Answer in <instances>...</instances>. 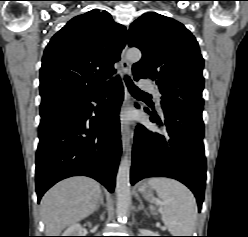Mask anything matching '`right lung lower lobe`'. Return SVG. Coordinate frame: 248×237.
<instances>
[{"label":"right lung lower lobe","instance_id":"1","mask_svg":"<svg viewBox=\"0 0 248 237\" xmlns=\"http://www.w3.org/2000/svg\"><path fill=\"white\" fill-rule=\"evenodd\" d=\"M110 87L107 100L101 88L82 98L40 105L38 202L51 186L71 176L94 178L113 192L122 150L118 113L124 93L119 78ZM92 101L98 103L97 108ZM92 111L96 116L90 118Z\"/></svg>","mask_w":248,"mask_h":237}]
</instances>
